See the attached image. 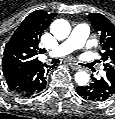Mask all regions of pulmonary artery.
Instances as JSON below:
<instances>
[{"instance_id":"obj_1","label":"pulmonary artery","mask_w":115,"mask_h":119,"mask_svg":"<svg viewBox=\"0 0 115 119\" xmlns=\"http://www.w3.org/2000/svg\"><path fill=\"white\" fill-rule=\"evenodd\" d=\"M89 32L90 28L88 25L78 24L73 29L71 35L55 48L53 54L56 56H64L77 49L86 50L85 45Z\"/></svg>"}]
</instances>
